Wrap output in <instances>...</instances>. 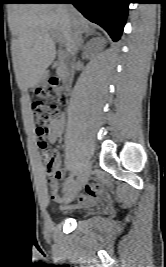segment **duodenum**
Listing matches in <instances>:
<instances>
[{
  "label": "duodenum",
  "mask_w": 166,
  "mask_h": 267,
  "mask_svg": "<svg viewBox=\"0 0 166 267\" xmlns=\"http://www.w3.org/2000/svg\"><path fill=\"white\" fill-rule=\"evenodd\" d=\"M57 74L66 88H69L74 79V69L71 64L62 63L56 66Z\"/></svg>",
  "instance_id": "410a0bca"
}]
</instances>
